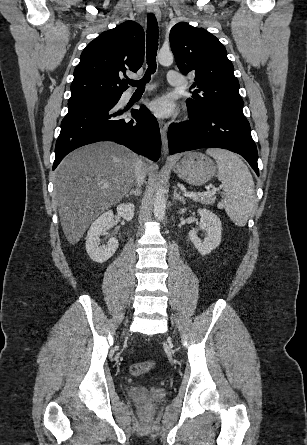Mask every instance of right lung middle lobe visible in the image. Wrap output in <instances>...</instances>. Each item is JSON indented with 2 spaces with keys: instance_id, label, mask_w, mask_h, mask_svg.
Here are the masks:
<instances>
[{
  "instance_id": "dd1d6c3e",
  "label": "right lung middle lobe",
  "mask_w": 307,
  "mask_h": 445,
  "mask_svg": "<svg viewBox=\"0 0 307 445\" xmlns=\"http://www.w3.org/2000/svg\"><path fill=\"white\" fill-rule=\"evenodd\" d=\"M105 98L119 99L120 96H100V97H93V98L82 99V100H74V101H69L68 105H71V104H74V103H79V102H84V101H91V100H97V99H105Z\"/></svg>"
}]
</instances>
